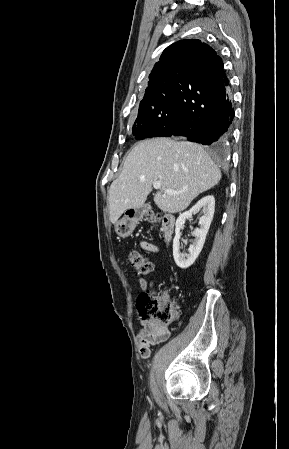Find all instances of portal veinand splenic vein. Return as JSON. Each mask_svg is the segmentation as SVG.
I'll use <instances>...</instances> for the list:
<instances>
[{
    "label": "portal vein and splenic vein",
    "instance_id": "portal-vein-and-splenic-vein-1",
    "mask_svg": "<svg viewBox=\"0 0 289 449\" xmlns=\"http://www.w3.org/2000/svg\"><path fill=\"white\" fill-rule=\"evenodd\" d=\"M153 187H154L155 189H159V188L161 187V182H155V183H153ZM165 193H166V194H171V195L179 194V192L173 191V190H171V189H166V190H165Z\"/></svg>",
    "mask_w": 289,
    "mask_h": 449
}]
</instances>
